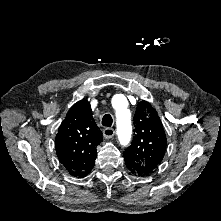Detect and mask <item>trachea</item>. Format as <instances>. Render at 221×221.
<instances>
[{
	"label": "trachea",
	"instance_id": "obj_1",
	"mask_svg": "<svg viewBox=\"0 0 221 221\" xmlns=\"http://www.w3.org/2000/svg\"><path fill=\"white\" fill-rule=\"evenodd\" d=\"M112 122L113 119L109 114L104 115V117L102 118V125L105 127H110L112 125Z\"/></svg>",
	"mask_w": 221,
	"mask_h": 221
}]
</instances>
